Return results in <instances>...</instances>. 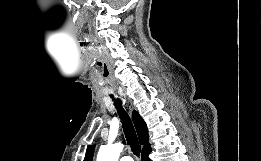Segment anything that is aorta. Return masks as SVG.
<instances>
[{"label":"aorta","mask_w":261,"mask_h":161,"mask_svg":"<svg viewBox=\"0 0 261 161\" xmlns=\"http://www.w3.org/2000/svg\"><path fill=\"white\" fill-rule=\"evenodd\" d=\"M123 144H107L102 145L97 155V161H118Z\"/></svg>","instance_id":"762f6f07"}]
</instances>
